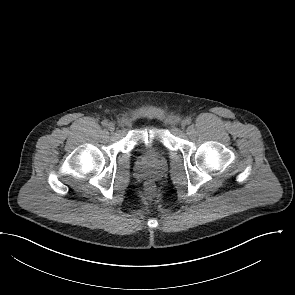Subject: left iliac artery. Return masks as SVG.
<instances>
[{
	"mask_svg": "<svg viewBox=\"0 0 295 295\" xmlns=\"http://www.w3.org/2000/svg\"><path fill=\"white\" fill-rule=\"evenodd\" d=\"M185 121H186V123H187V124H191V122H192V119H191L190 117H188V118H186V120H185Z\"/></svg>",
	"mask_w": 295,
	"mask_h": 295,
	"instance_id": "left-iliac-artery-1",
	"label": "left iliac artery"
}]
</instances>
